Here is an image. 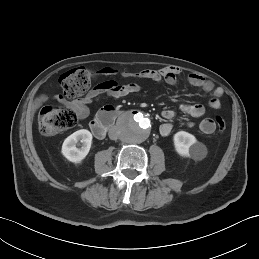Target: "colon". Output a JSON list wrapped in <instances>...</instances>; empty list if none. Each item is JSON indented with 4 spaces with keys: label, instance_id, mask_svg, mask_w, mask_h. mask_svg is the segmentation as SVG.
Listing matches in <instances>:
<instances>
[{
    "label": "colon",
    "instance_id": "5ec220e1",
    "mask_svg": "<svg viewBox=\"0 0 259 259\" xmlns=\"http://www.w3.org/2000/svg\"><path fill=\"white\" fill-rule=\"evenodd\" d=\"M97 73L87 68H74L60 77V86L69 98L82 96L91 83L96 79ZM78 120L77 113L68 107L48 105L42 108L39 115V130L44 136H53L73 127ZM218 133L225 132L227 125L222 116L215 117Z\"/></svg>",
    "mask_w": 259,
    "mask_h": 259
}]
</instances>
